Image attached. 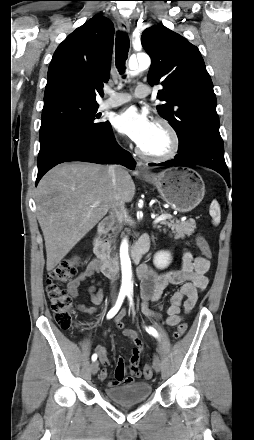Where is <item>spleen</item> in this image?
I'll return each mask as SVG.
<instances>
[{
    "label": "spleen",
    "instance_id": "spleen-1",
    "mask_svg": "<svg viewBox=\"0 0 254 440\" xmlns=\"http://www.w3.org/2000/svg\"><path fill=\"white\" fill-rule=\"evenodd\" d=\"M210 215L213 219V224L218 225L220 222V207L216 200H213L210 206Z\"/></svg>",
    "mask_w": 254,
    "mask_h": 440
}]
</instances>
